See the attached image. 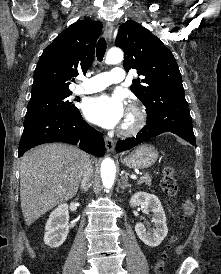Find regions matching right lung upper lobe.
I'll return each mask as SVG.
<instances>
[{
    "mask_svg": "<svg viewBox=\"0 0 221 274\" xmlns=\"http://www.w3.org/2000/svg\"><path fill=\"white\" fill-rule=\"evenodd\" d=\"M101 30V22L77 21L61 32L39 59L31 100L72 93L68 86L74 77L85 74L91 66Z\"/></svg>",
    "mask_w": 221,
    "mask_h": 274,
    "instance_id": "cb5924a9",
    "label": "right lung upper lobe"
}]
</instances>
